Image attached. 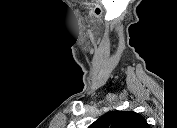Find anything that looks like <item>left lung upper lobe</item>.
<instances>
[{
  "mask_svg": "<svg viewBox=\"0 0 177 128\" xmlns=\"http://www.w3.org/2000/svg\"><path fill=\"white\" fill-rule=\"evenodd\" d=\"M95 128H147L146 120L133 111H112L93 124Z\"/></svg>",
  "mask_w": 177,
  "mask_h": 128,
  "instance_id": "1",
  "label": "left lung upper lobe"
}]
</instances>
